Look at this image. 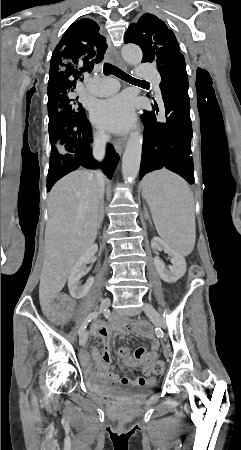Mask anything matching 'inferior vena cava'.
<instances>
[{"label":"inferior vena cava","instance_id":"inferior-vena-cava-1","mask_svg":"<svg viewBox=\"0 0 241 450\" xmlns=\"http://www.w3.org/2000/svg\"><path fill=\"white\" fill-rule=\"evenodd\" d=\"M110 136H103V134H99V136H95V144L93 148V156L95 160H103L105 156V148L107 142H109ZM91 176H96L98 182H99V202L103 198L104 194V176L100 170H97V172H92ZM99 218H103L102 210L99 206Z\"/></svg>","mask_w":241,"mask_h":450}]
</instances>
